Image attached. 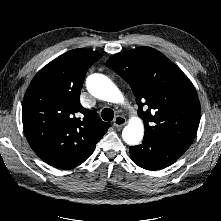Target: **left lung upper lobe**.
<instances>
[{
    "label": "left lung upper lobe",
    "mask_w": 221,
    "mask_h": 221,
    "mask_svg": "<svg viewBox=\"0 0 221 221\" xmlns=\"http://www.w3.org/2000/svg\"><path fill=\"white\" fill-rule=\"evenodd\" d=\"M106 66L132 88L144 121V137L185 152L197 133L200 102L180 68L150 47L115 54Z\"/></svg>",
    "instance_id": "5c2ea615"
}]
</instances>
